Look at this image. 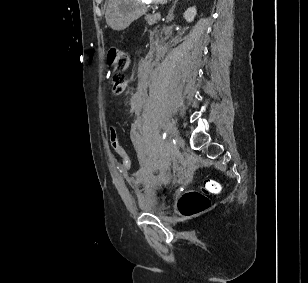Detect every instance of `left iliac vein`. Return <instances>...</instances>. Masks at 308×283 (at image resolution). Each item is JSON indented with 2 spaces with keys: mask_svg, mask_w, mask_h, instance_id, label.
<instances>
[{
  "mask_svg": "<svg viewBox=\"0 0 308 283\" xmlns=\"http://www.w3.org/2000/svg\"><path fill=\"white\" fill-rule=\"evenodd\" d=\"M174 135H175V142L177 143V145L180 148H183L185 146V142H184L183 138L179 135V133L177 131L174 133Z\"/></svg>",
  "mask_w": 308,
  "mask_h": 283,
  "instance_id": "obj_1",
  "label": "left iliac vein"
}]
</instances>
